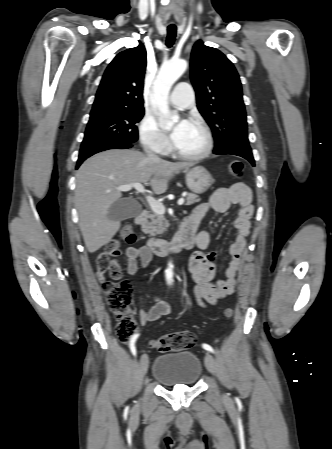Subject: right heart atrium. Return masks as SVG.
Returning a JSON list of instances; mask_svg holds the SVG:
<instances>
[{"label":"right heart atrium","mask_w":332,"mask_h":449,"mask_svg":"<svg viewBox=\"0 0 332 449\" xmlns=\"http://www.w3.org/2000/svg\"><path fill=\"white\" fill-rule=\"evenodd\" d=\"M140 139L143 145L158 154H165L170 149V142L159 128L156 119L146 115L139 126Z\"/></svg>","instance_id":"obj_1"}]
</instances>
